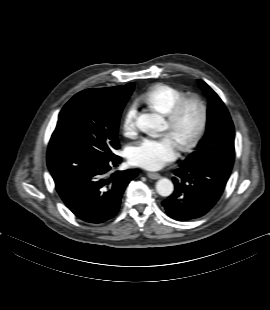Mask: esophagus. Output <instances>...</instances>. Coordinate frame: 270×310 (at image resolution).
<instances>
[{"label":"esophagus","mask_w":270,"mask_h":310,"mask_svg":"<svg viewBox=\"0 0 270 310\" xmlns=\"http://www.w3.org/2000/svg\"><path fill=\"white\" fill-rule=\"evenodd\" d=\"M147 176L148 178L154 179V180L159 179L161 177L160 174L154 173V172H148Z\"/></svg>","instance_id":"1"}]
</instances>
